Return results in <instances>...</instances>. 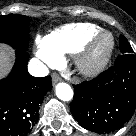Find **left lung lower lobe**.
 Returning <instances> with one entry per match:
<instances>
[{"instance_id": "left-lung-lower-lobe-1", "label": "left lung lower lobe", "mask_w": 136, "mask_h": 136, "mask_svg": "<svg viewBox=\"0 0 136 136\" xmlns=\"http://www.w3.org/2000/svg\"><path fill=\"white\" fill-rule=\"evenodd\" d=\"M71 113L85 129L99 134L118 129L136 106V56L121 54L114 66L74 86Z\"/></svg>"}]
</instances>
